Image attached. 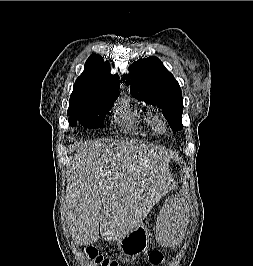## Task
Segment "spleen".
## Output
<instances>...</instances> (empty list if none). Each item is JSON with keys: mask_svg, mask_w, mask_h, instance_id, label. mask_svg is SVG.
I'll use <instances>...</instances> for the list:
<instances>
[{"mask_svg": "<svg viewBox=\"0 0 253 266\" xmlns=\"http://www.w3.org/2000/svg\"><path fill=\"white\" fill-rule=\"evenodd\" d=\"M184 224L186 207H163L155 221V234L161 246H180Z\"/></svg>", "mask_w": 253, "mask_h": 266, "instance_id": "obj_1", "label": "spleen"}]
</instances>
